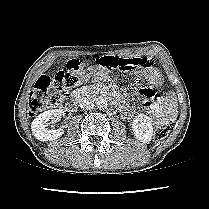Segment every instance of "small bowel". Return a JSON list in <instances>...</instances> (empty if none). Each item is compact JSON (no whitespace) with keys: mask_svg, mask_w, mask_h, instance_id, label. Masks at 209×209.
Here are the masks:
<instances>
[{"mask_svg":"<svg viewBox=\"0 0 209 209\" xmlns=\"http://www.w3.org/2000/svg\"><path fill=\"white\" fill-rule=\"evenodd\" d=\"M137 74L147 80V87L141 90L142 111L150 115L159 126L167 123L170 119L175 117L177 106L175 97L172 93H167L162 96H156L155 94L154 90L160 87L163 83L162 74L158 69L151 67H138ZM107 79L108 71L104 69H99L93 74L82 71L80 77L82 83H88L91 80L106 81ZM125 108L129 111L128 107Z\"/></svg>","mask_w":209,"mask_h":209,"instance_id":"small-bowel-1","label":"small bowel"}]
</instances>
